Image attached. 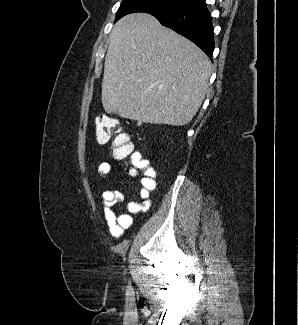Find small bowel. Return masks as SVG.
Returning <instances> with one entry per match:
<instances>
[{
    "instance_id": "1",
    "label": "small bowel",
    "mask_w": 298,
    "mask_h": 325,
    "mask_svg": "<svg viewBox=\"0 0 298 325\" xmlns=\"http://www.w3.org/2000/svg\"><path fill=\"white\" fill-rule=\"evenodd\" d=\"M112 170V164L108 161L102 162L98 167L101 178L108 177ZM156 170L151 167L143 173L140 179V202L131 201L126 205V212L118 213L115 207L122 202L123 196L116 190H105L102 193L104 205V217L109 233L112 237L119 239L124 231L133 225L132 214L147 212L152 205L151 192L156 188Z\"/></svg>"
}]
</instances>
